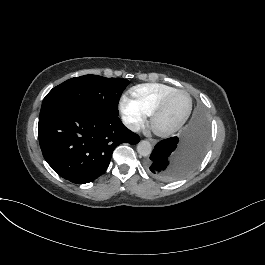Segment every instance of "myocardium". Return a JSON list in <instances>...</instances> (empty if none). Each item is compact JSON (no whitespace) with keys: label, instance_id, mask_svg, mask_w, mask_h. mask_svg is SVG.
I'll return each mask as SVG.
<instances>
[{"label":"myocardium","instance_id":"1","mask_svg":"<svg viewBox=\"0 0 265 265\" xmlns=\"http://www.w3.org/2000/svg\"><path fill=\"white\" fill-rule=\"evenodd\" d=\"M177 93H185V90L183 89H174L171 92H169L168 94H166L165 96H163L159 102L157 103L153 114H152V127L153 130L162 137L168 136L170 134H172L173 132L177 131L178 129H180L189 119L191 111H192V101L191 99L188 100V105L186 108V111L184 113V115L181 117V119L176 122L175 124L171 125V126H162L160 125L159 119H160V115L161 112L166 104V102L175 94Z\"/></svg>","mask_w":265,"mask_h":265}]
</instances>
